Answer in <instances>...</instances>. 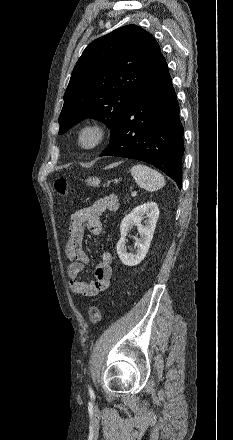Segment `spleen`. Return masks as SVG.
<instances>
[{
  "instance_id": "3e777b00",
  "label": "spleen",
  "mask_w": 233,
  "mask_h": 440,
  "mask_svg": "<svg viewBox=\"0 0 233 440\" xmlns=\"http://www.w3.org/2000/svg\"><path fill=\"white\" fill-rule=\"evenodd\" d=\"M130 172L138 186L147 191H156L165 185L162 174L146 165L136 164Z\"/></svg>"
}]
</instances>
